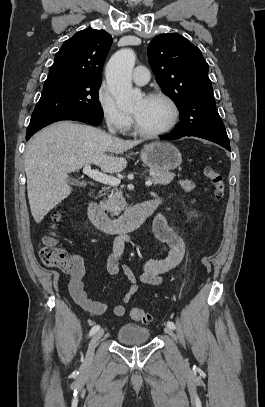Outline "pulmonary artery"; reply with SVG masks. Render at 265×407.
<instances>
[{"label": "pulmonary artery", "instance_id": "pulmonary-artery-1", "mask_svg": "<svg viewBox=\"0 0 265 407\" xmlns=\"http://www.w3.org/2000/svg\"><path fill=\"white\" fill-rule=\"evenodd\" d=\"M132 79H133L134 83H136L138 85H144L150 79V72L144 66H141V65L137 66V67H135V69L133 71Z\"/></svg>", "mask_w": 265, "mask_h": 407}]
</instances>
